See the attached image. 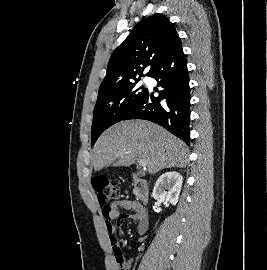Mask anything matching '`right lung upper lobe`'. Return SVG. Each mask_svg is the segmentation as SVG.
<instances>
[{"mask_svg": "<svg viewBox=\"0 0 267 270\" xmlns=\"http://www.w3.org/2000/svg\"><path fill=\"white\" fill-rule=\"evenodd\" d=\"M181 43L173 23L162 14L140 21L113 52L99 91L139 79L145 67L151 76L167 54Z\"/></svg>", "mask_w": 267, "mask_h": 270, "instance_id": "1", "label": "right lung upper lobe"}]
</instances>
